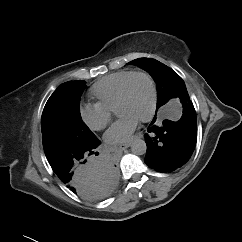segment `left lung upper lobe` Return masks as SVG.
<instances>
[{
	"label": "left lung upper lobe",
	"instance_id": "1",
	"mask_svg": "<svg viewBox=\"0 0 242 242\" xmlns=\"http://www.w3.org/2000/svg\"><path fill=\"white\" fill-rule=\"evenodd\" d=\"M148 71L157 83V109L173 97L188 95L183 79L171 68L152 58H139L128 63Z\"/></svg>",
	"mask_w": 242,
	"mask_h": 242
}]
</instances>
